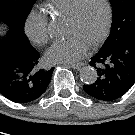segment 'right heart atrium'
I'll use <instances>...</instances> for the list:
<instances>
[{"instance_id":"obj_1","label":"right heart atrium","mask_w":135,"mask_h":135,"mask_svg":"<svg viewBox=\"0 0 135 135\" xmlns=\"http://www.w3.org/2000/svg\"><path fill=\"white\" fill-rule=\"evenodd\" d=\"M25 34L28 39L36 44L43 45L50 39L48 19L45 14L31 11L24 23Z\"/></svg>"}]
</instances>
